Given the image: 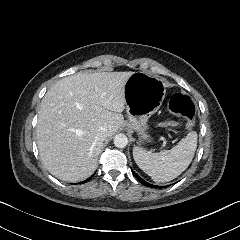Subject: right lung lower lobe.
Wrapping results in <instances>:
<instances>
[{
	"instance_id": "right-lung-lower-lobe-1",
	"label": "right lung lower lobe",
	"mask_w": 240,
	"mask_h": 240,
	"mask_svg": "<svg viewBox=\"0 0 240 240\" xmlns=\"http://www.w3.org/2000/svg\"><path fill=\"white\" fill-rule=\"evenodd\" d=\"M89 179L85 180L83 183L87 182Z\"/></svg>"
}]
</instances>
